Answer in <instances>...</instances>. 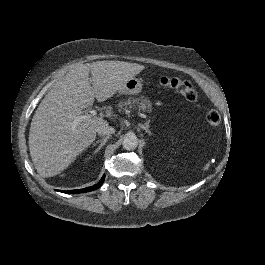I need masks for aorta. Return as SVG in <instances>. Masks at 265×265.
I'll use <instances>...</instances> for the list:
<instances>
[{"label": "aorta", "mask_w": 265, "mask_h": 265, "mask_svg": "<svg viewBox=\"0 0 265 265\" xmlns=\"http://www.w3.org/2000/svg\"><path fill=\"white\" fill-rule=\"evenodd\" d=\"M137 143H138V139L134 132H128L123 137L122 145L126 150H131V149L136 148Z\"/></svg>", "instance_id": "obj_1"}]
</instances>
